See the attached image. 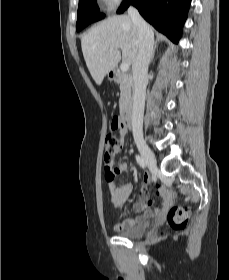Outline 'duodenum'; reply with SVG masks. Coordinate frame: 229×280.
Wrapping results in <instances>:
<instances>
[{"label":"duodenum","mask_w":229,"mask_h":280,"mask_svg":"<svg viewBox=\"0 0 229 280\" xmlns=\"http://www.w3.org/2000/svg\"><path fill=\"white\" fill-rule=\"evenodd\" d=\"M113 78L115 81L120 82L123 80V75L121 72L115 71L113 73ZM127 78L129 79L130 76H127ZM133 108H134V100L133 98H130L126 103L120 116L121 128L124 130H128V128L131 126Z\"/></svg>","instance_id":"1"}]
</instances>
